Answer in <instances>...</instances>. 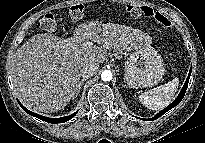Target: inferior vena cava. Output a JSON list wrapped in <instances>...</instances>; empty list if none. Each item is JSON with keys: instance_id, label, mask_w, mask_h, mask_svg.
Wrapping results in <instances>:
<instances>
[{"instance_id": "602c4592", "label": "inferior vena cava", "mask_w": 205, "mask_h": 143, "mask_svg": "<svg viewBox=\"0 0 205 143\" xmlns=\"http://www.w3.org/2000/svg\"><path fill=\"white\" fill-rule=\"evenodd\" d=\"M99 64L89 63L81 69V76L85 79L92 77L98 70Z\"/></svg>"}]
</instances>
